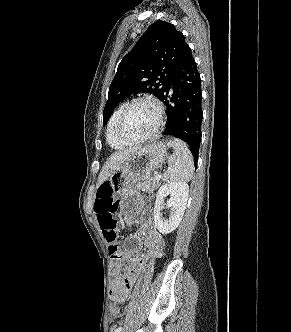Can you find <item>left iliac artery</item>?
I'll list each match as a JSON object with an SVG mask.
<instances>
[{"mask_svg":"<svg viewBox=\"0 0 291 332\" xmlns=\"http://www.w3.org/2000/svg\"><path fill=\"white\" fill-rule=\"evenodd\" d=\"M122 331V327H118L117 329H115L114 332H121Z\"/></svg>","mask_w":291,"mask_h":332,"instance_id":"left-iliac-artery-1","label":"left iliac artery"}]
</instances>
